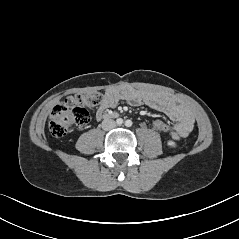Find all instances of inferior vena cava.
<instances>
[{"mask_svg":"<svg viewBox=\"0 0 239 239\" xmlns=\"http://www.w3.org/2000/svg\"><path fill=\"white\" fill-rule=\"evenodd\" d=\"M116 127V122L112 119H104L102 121V129L105 131L112 130Z\"/></svg>","mask_w":239,"mask_h":239,"instance_id":"obj_1","label":"inferior vena cava"}]
</instances>
